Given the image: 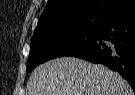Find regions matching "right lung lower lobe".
<instances>
[{"mask_svg": "<svg viewBox=\"0 0 135 95\" xmlns=\"http://www.w3.org/2000/svg\"><path fill=\"white\" fill-rule=\"evenodd\" d=\"M72 56L119 72L135 92V15L110 20L95 31L91 44Z\"/></svg>", "mask_w": 135, "mask_h": 95, "instance_id": "1", "label": "right lung lower lobe"}]
</instances>
